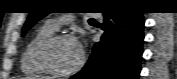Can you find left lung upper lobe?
Returning a JSON list of instances; mask_svg holds the SVG:
<instances>
[{"mask_svg": "<svg viewBox=\"0 0 177 79\" xmlns=\"http://www.w3.org/2000/svg\"><path fill=\"white\" fill-rule=\"evenodd\" d=\"M49 14L45 8H37L30 12L28 19L23 27L22 36L41 18Z\"/></svg>", "mask_w": 177, "mask_h": 79, "instance_id": "left-lung-upper-lobe-1", "label": "left lung upper lobe"}]
</instances>
